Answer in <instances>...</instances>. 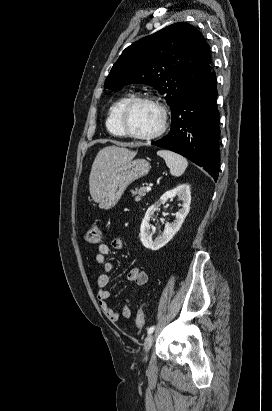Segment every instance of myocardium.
Returning a JSON list of instances; mask_svg holds the SVG:
<instances>
[{"label": "myocardium", "mask_w": 272, "mask_h": 411, "mask_svg": "<svg viewBox=\"0 0 272 411\" xmlns=\"http://www.w3.org/2000/svg\"><path fill=\"white\" fill-rule=\"evenodd\" d=\"M149 103L154 105L160 112L161 116V121L160 125L151 134L147 135H138L134 134L133 132L129 131L126 125V116L130 110V108L135 105L136 103ZM119 125L121 128V131L125 137L131 138L133 140H138V141H151L155 140L159 137H161L167 130L168 128V113L167 109L164 106V104L157 98L152 97V96H134L131 97L130 99L127 100V102L123 105L122 109L120 110L119 113Z\"/></svg>", "instance_id": "obj_1"}]
</instances>
